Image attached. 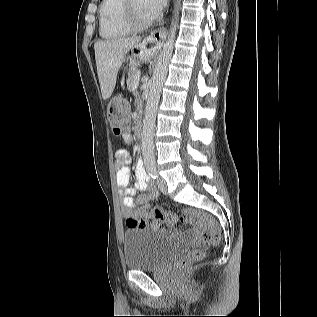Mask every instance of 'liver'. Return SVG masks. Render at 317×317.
<instances>
[{"mask_svg": "<svg viewBox=\"0 0 317 317\" xmlns=\"http://www.w3.org/2000/svg\"><path fill=\"white\" fill-rule=\"evenodd\" d=\"M141 37L100 40L94 44L97 74L102 97L109 99L116 85L117 74L128 51L140 46Z\"/></svg>", "mask_w": 317, "mask_h": 317, "instance_id": "6515ba94", "label": "liver"}]
</instances>
